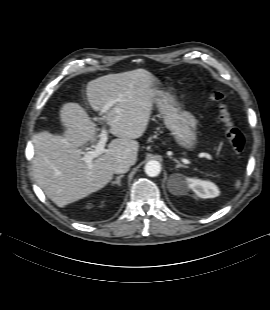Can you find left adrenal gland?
I'll use <instances>...</instances> for the list:
<instances>
[{"label": "left adrenal gland", "instance_id": "obj_1", "mask_svg": "<svg viewBox=\"0 0 270 310\" xmlns=\"http://www.w3.org/2000/svg\"><path fill=\"white\" fill-rule=\"evenodd\" d=\"M173 161H175L177 163L176 168H180V167L188 168V166L181 164L180 161H178L175 158L173 159Z\"/></svg>", "mask_w": 270, "mask_h": 310}]
</instances>
